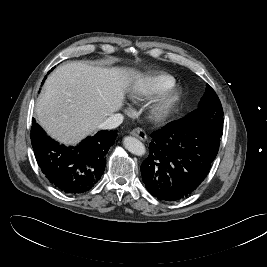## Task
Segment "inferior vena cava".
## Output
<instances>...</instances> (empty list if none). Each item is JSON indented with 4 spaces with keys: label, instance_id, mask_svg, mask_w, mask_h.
Wrapping results in <instances>:
<instances>
[{
    "label": "inferior vena cava",
    "instance_id": "1",
    "mask_svg": "<svg viewBox=\"0 0 267 267\" xmlns=\"http://www.w3.org/2000/svg\"><path fill=\"white\" fill-rule=\"evenodd\" d=\"M123 115L122 114H113L109 116L104 122L99 125L100 129L103 130H110L118 127L123 122Z\"/></svg>",
    "mask_w": 267,
    "mask_h": 267
}]
</instances>
